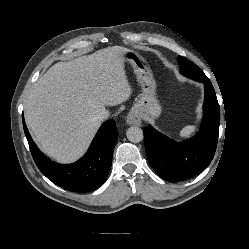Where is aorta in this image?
I'll return each mask as SVG.
<instances>
[{"label": "aorta", "mask_w": 249, "mask_h": 249, "mask_svg": "<svg viewBox=\"0 0 249 249\" xmlns=\"http://www.w3.org/2000/svg\"><path fill=\"white\" fill-rule=\"evenodd\" d=\"M127 138L130 142L138 143L143 140V131L137 126H132L126 131Z\"/></svg>", "instance_id": "762f6f07"}]
</instances>
